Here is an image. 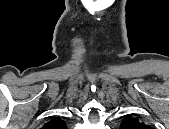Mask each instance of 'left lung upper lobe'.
<instances>
[{
	"mask_svg": "<svg viewBox=\"0 0 169 129\" xmlns=\"http://www.w3.org/2000/svg\"><path fill=\"white\" fill-rule=\"evenodd\" d=\"M150 128L151 127L149 125L140 122L138 118L132 117L125 118L120 125V129H150Z\"/></svg>",
	"mask_w": 169,
	"mask_h": 129,
	"instance_id": "obj_1",
	"label": "left lung upper lobe"
}]
</instances>
